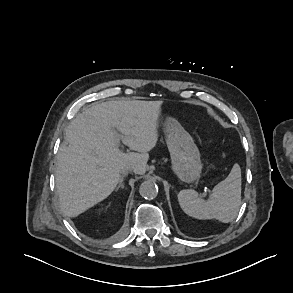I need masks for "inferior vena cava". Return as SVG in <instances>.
<instances>
[{
    "label": "inferior vena cava",
    "instance_id": "inferior-vena-cava-1",
    "mask_svg": "<svg viewBox=\"0 0 293 293\" xmlns=\"http://www.w3.org/2000/svg\"><path fill=\"white\" fill-rule=\"evenodd\" d=\"M134 171V167L133 166H126L122 169L121 173L122 174H128L129 172Z\"/></svg>",
    "mask_w": 293,
    "mask_h": 293
}]
</instances>
